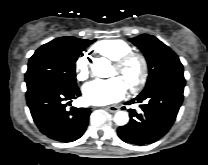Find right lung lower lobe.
<instances>
[{
    "label": "right lung lower lobe",
    "mask_w": 208,
    "mask_h": 165,
    "mask_svg": "<svg viewBox=\"0 0 208 165\" xmlns=\"http://www.w3.org/2000/svg\"><path fill=\"white\" fill-rule=\"evenodd\" d=\"M80 95L77 86L44 84L27 92L26 99L33 120L44 135L56 141L72 142L84 134L91 113L89 108L66 110V105Z\"/></svg>",
    "instance_id": "obj_1"
}]
</instances>
